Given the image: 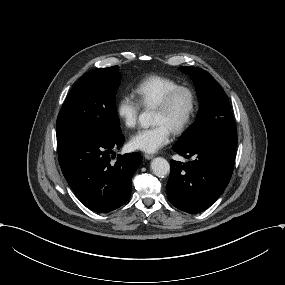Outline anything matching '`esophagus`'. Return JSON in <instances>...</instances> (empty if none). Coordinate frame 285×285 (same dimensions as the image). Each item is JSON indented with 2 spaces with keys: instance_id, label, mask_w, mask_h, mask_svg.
Returning a JSON list of instances; mask_svg holds the SVG:
<instances>
[{
  "instance_id": "obj_1",
  "label": "esophagus",
  "mask_w": 285,
  "mask_h": 285,
  "mask_svg": "<svg viewBox=\"0 0 285 285\" xmlns=\"http://www.w3.org/2000/svg\"><path fill=\"white\" fill-rule=\"evenodd\" d=\"M153 157H154V155H152V154H145L144 155V158L147 160L153 159Z\"/></svg>"
}]
</instances>
